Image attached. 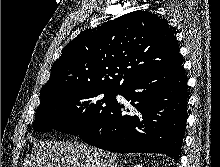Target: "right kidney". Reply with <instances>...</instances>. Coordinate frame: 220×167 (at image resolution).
Returning <instances> with one entry per match:
<instances>
[{
	"label": "right kidney",
	"mask_w": 220,
	"mask_h": 167,
	"mask_svg": "<svg viewBox=\"0 0 220 167\" xmlns=\"http://www.w3.org/2000/svg\"><path fill=\"white\" fill-rule=\"evenodd\" d=\"M134 167H142V166H140V165H136V166H134Z\"/></svg>",
	"instance_id": "right-kidney-1"
}]
</instances>
